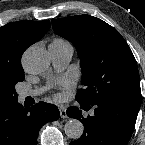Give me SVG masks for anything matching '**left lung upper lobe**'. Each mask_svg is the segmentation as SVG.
Returning <instances> with one entry per match:
<instances>
[{
  "instance_id": "left-lung-upper-lobe-1",
  "label": "left lung upper lobe",
  "mask_w": 145,
  "mask_h": 145,
  "mask_svg": "<svg viewBox=\"0 0 145 145\" xmlns=\"http://www.w3.org/2000/svg\"><path fill=\"white\" fill-rule=\"evenodd\" d=\"M51 22L55 33L72 42L78 51L85 89L78 90L76 100L95 104L119 97L141 98L136 60L116 29L89 15Z\"/></svg>"
}]
</instances>
